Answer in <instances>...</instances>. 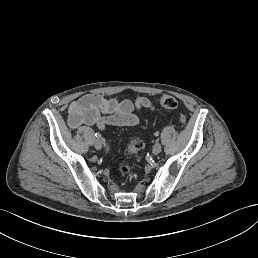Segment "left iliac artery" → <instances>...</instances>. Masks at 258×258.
<instances>
[{
	"mask_svg": "<svg viewBox=\"0 0 258 258\" xmlns=\"http://www.w3.org/2000/svg\"><path fill=\"white\" fill-rule=\"evenodd\" d=\"M160 135V132L159 131H156L155 133H154V136H159Z\"/></svg>",
	"mask_w": 258,
	"mask_h": 258,
	"instance_id": "left-iliac-artery-1",
	"label": "left iliac artery"
}]
</instances>
